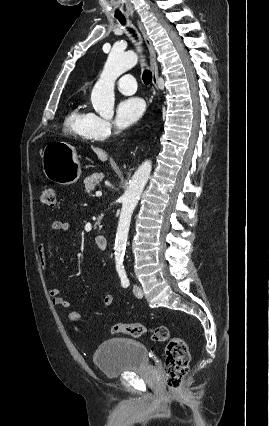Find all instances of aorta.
<instances>
[{
  "mask_svg": "<svg viewBox=\"0 0 269 426\" xmlns=\"http://www.w3.org/2000/svg\"><path fill=\"white\" fill-rule=\"evenodd\" d=\"M138 62V56L134 52H121L113 49L108 56L103 72L96 82L91 93V102L94 110L103 118L109 119L114 115V85L116 79L134 67ZM152 163L150 160L143 162L135 171L128 188L122 196V209L118 222L115 238L114 254L117 264H122L128 233L133 211L140 199V196L146 186Z\"/></svg>",
  "mask_w": 269,
  "mask_h": 426,
  "instance_id": "aorta-1",
  "label": "aorta"
}]
</instances>
